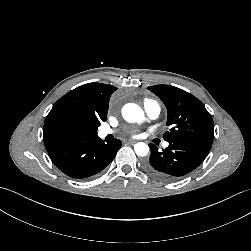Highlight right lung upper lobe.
Wrapping results in <instances>:
<instances>
[{"mask_svg": "<svg viewBox=\"0 0 251 251\" xmlns=\"http://www.w3.org/2000/svg\"><path fill=\"white\" fill-rule=\"evenodd\" d=\"M117 88L102 83L81 85L61 97L52 107L44 123V144L46 149L55 141L48 134L51 118L60 112H71L99 124L107 119L109 99Z\"/></svg>", "mask_w": 251, "mask_h": 251, "instance_id": "right-lung-upper-lobe-1", "label": "right lung upper lobe"}]
</instances>
